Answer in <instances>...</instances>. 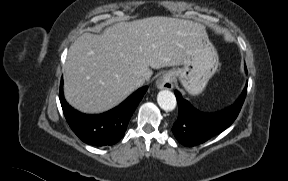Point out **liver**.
<instances>
[{"label": "liver", "mask_w": 288, "mask_h": 181, "mask_svg": "<svg viewBox=\"0 0 288 181\" xmlns=\"http://www.w3.org/2000/svg\"><path fill=\"white\" fill-rule=\"evenodd\" d=\"M200 30L190 20L154 16L116 23L100 35L82 34L64 66L66 100L84 113L117 106L136 90V79H150V68L184 64Z\"/></svg>", "instance_id": "liver-1"}]
</instances>
